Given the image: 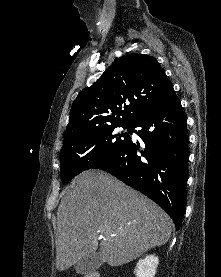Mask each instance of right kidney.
Returning <instances> with one entry per match:
<instances>
[{"mask_svg":"<svg viewBox=\"0 0 221 277\" xmlns=\"http://www.w3.org/2000/svg\"><path fill=\"white\" fill-rule=\"evenodd\" d=\"M159 259L155 255H147L144 259H140L135 268L136 277H154Z\"/></svg>","mask_w":221,"mask_h":277,"instance_id":"right-kidney-1","label":"right kidney"}]
</instances>
